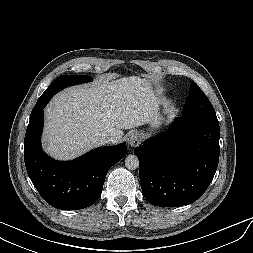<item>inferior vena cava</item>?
<instances>
[{
    "mask_svg": "<svg viewBox=\"0 0 253 253\" xmlns=\"http://www.w3.org/2000/svg\"><path fill=\"white\" fill-rule=\"evenodd\" d=\"M100 140L103 144L109 143V142H114L115 137L113 134H110L109 132H102L100 134Z\"/></svg>",
    "mask_w": 253,
    "mask_h": 253,
    "instance_id": "1",
    "label": "inferior vena cava"
}]
</instances>
